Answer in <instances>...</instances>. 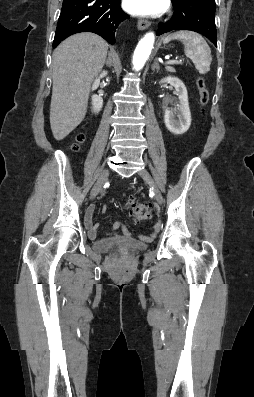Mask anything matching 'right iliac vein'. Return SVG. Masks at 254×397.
Returning <instances> with one entry per match:
<instances>
[{
    "label": "right iliac vein",
    "instance_id": "1",
    "mask_svg": "<svg viewBox=\"0 0 254 397\" xmlns=\"http://www.w3.org/2000/svg\"><path fill=\"white\" fill-rule=\"evenodd\" d=\"M109 176V171L107 169H105L101 175L99 176L97 182L95 183L94 187L91 190V194H90V198L94 199L97 194L100 192V190L102 189L103 185L105 184V182L107 181Z\"/></svg>",
    "mask_w": 254,
    "mask_h": 397
}]
</instances>
